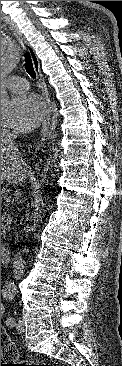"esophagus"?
<instances>
[{
    "instance_id": "1",
    "label": "esophagus",
    "mask_w": 122,
    "mask_h": 366,
    "mask_svg": "<svg viewBox=\"0 0 122 366\" xmlns=\"http://www.w3.org/2000/svg\"><path fill=\"white\" fill-rule=\"evenodd\" d=\"M3 20L10 26L11 30L13 31L16 38L19 40L22 47L24 49H26L29 52L30 56H31L33 66H34V69H35V73H36L39 85L41 87V90H42V95L44 97L45 107H46V109H45V119L43 121L41 132H40L41 140L43 142H45V141L48 140V138L51 135L50 128H51V122H52L53 107H52V104H51L49 91L47 89V86L45 84L43 75H42L41 70H40L39 59H38L34 49L30 46V44L27 42V40L22 35V33L18 30V28L14 25V23L6 17H3Z\"/></svg>"
}]
</instances>
